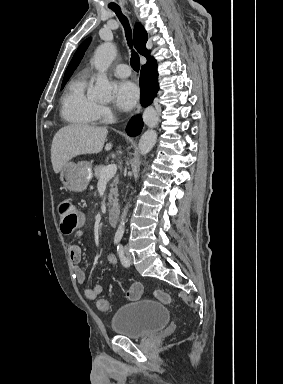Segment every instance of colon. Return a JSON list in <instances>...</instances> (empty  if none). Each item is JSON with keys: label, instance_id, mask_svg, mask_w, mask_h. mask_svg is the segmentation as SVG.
I'll list each match as a JSON object with an SVG mask.
<instances>
[{"label": "colon", "instance_id": "1", "mask_svg": "<svg viewBox=\"0 0 283 384\" xmlns=\"http://www.w3.org/2000/svg\"><path fill=\"white\" fill-rule=\"evenodd\" d=\"M60 228L64 234H71L84 223V215L70 199H64L59 204ZM142 294V287L134 284L127 292V298L130 300L138 299ZM154 296L166 305L173 304L172 297L163 290H155ZM97 307L101 312H109L110 303L106 299H99Z\"/></svg>", "mask_w": 283, "mask_h": 384}]
</instances>
